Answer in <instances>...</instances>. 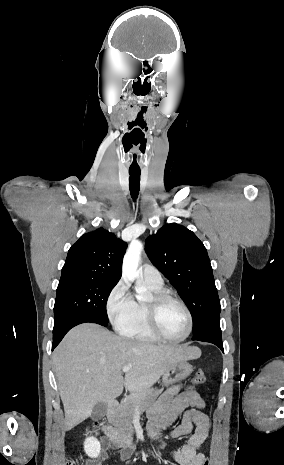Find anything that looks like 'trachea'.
Segmentation results:
<instances>
[{"label": "trachea", "mask_w": 284, "mask_h": 465, "mask_svg": "<svg viewBox=\"0 0 284 465\" xmlns=\"http://www.w3.org/2000/svg\"><path fill=\"white\" fill-rule=\"evenodd\" d=\"M140 175V169L129 170V187L133 200H136L139 195Z\"/></svg>", "instance_id": "trachea-1"}]
</instances>
